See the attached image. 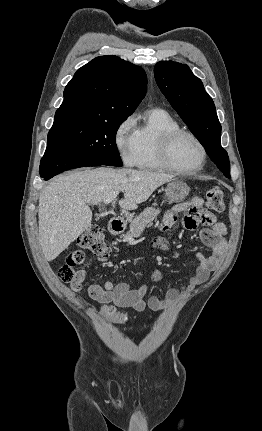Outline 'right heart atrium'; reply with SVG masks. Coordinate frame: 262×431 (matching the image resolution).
I'll use <instances>...</instances> for the list:
<instances>
[{"mask_svg": "<svg viewBox=\"0 0 262 431\" xmlns=\"http://www.w3.org/2000/svg\"><path fill=\"white\" fill-rule=\"evenodd\" d=\"M114 145L126 165H135L137 159L136 124L133 116L126 117L114 133Z\"/></svg>", "mask_w": 262, "mask_h": 431, "instance_id": "obj_1", "label": "right heart atrium"}]
</instances>
